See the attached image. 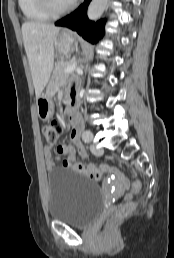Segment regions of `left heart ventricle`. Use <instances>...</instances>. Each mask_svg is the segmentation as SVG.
I'll use <instances>...</instances> for the list:
<instances>
[{"label":"left heart ventricle","instance_id":"1","mask_svg":"<svg viewBox=\"0 0 174 258\" xmlns=\"http://www.w3.org/2000/svg\"><path fill=\"white\" fill-rule=\"evenodd\" d=\"M54 1L56 5L59 7H63L71 2L70 0H54Z\"/></svg>","mask_w":174,"mask_h":258}]
</instances>
